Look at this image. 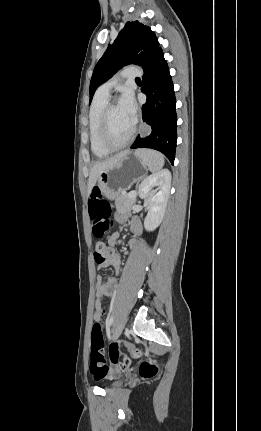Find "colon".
I'll use <instances>...</instances> for the list:
<instances>
[{"instance_id": "5ec220e1", "label": "colon", "mask_w": 261, "mask_h": 431, "mask_svg": "<svg viewBox=\"0 0 261 431\" xmlns=\"http://www.w3.org/2000/svg\"><path fill=\"white\" fill-rule=\"evenodd\" d=\"M89 214L92 219V231L97 238L94 246V257L96 263L104 262L113 254L112 248L102 240V237L111 229L110 206L108 202L100 198L99 190L94 189L88 203ZM100 303V302H98ZM131 357L139 358L141 351L136 348V343L128 345ZM108 361L103 353L102 326L100 322H95L91 336V362L90 371L92 380L96 383H103L108 379H120L121 373L129 370L131 364L130 357L122 355L118 343H111L108 347ZM158 371L156 365L145 361L140 365V374L145 378L153 377Z\"/></svg>"}]
</instances>
